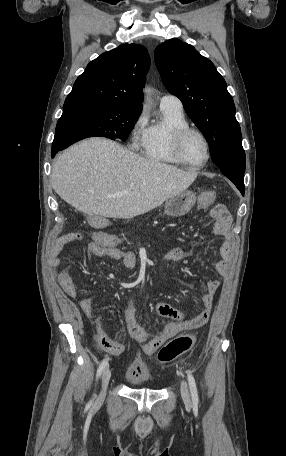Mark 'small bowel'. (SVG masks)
<instances>
[{"label": "small bowel", "instance_id": "obj_1", "mask_svg": "<svg viewBox=\"0 0 286 456\" xmlns=\"http://www.w3.org/2000/svg\"><path fill=\"white\" fill-rule=\"evenodd\" d=\"M212 215L216 220L215 233L223 238V243L219 249V259L214 263V269L222 276H227L230 272L232 263V236L230 231L231 217L223 204H215L212 208ZM73 233L61 236L54 244L50 257V265L58 266L61 262V254L65 248L78 240L72 237ZM121 239L106 232L95 231L90 234V241L87 243L88 251L98 257L109 260L121 261L125 267L134 269L137 264V257L131 251L123 250L119 247ZM189 256V253L179 248H172L164 253V258L173 262H180ZM58 281L64 293L72 298L78 297V290L73 280L71 272L67 268H62L58 272ZM220 286L218 280H209L206 283V293L200 297L203 310L193 317H186L178 309L163 302L155 305L156 313L168 319L165 327L156 332L146 331L136 320L132 295H127L123 304V318L126 329L133 339L142 343L145 354L154 353L162 344L176 334L193 330L205 325L210 317L213 306L214 295ZM93 295H86L78 302V306L87 319L92 318ZM93 323L96 328L94 339L98 345L106 352L118 356L123 353L125 347L110 338L101 316H95Z\"/></svg>", "mask_w": 286, "mask_h": 456}]
</instances>
